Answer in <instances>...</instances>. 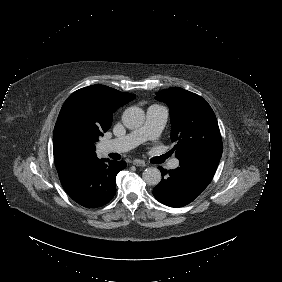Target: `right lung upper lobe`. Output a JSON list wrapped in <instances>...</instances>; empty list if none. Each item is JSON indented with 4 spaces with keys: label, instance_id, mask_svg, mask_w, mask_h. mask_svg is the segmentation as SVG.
<instances>
[{
    "label": "right lung upper lobe",
    "instance_id": "obj_1",
    "mask_svg": "<svg viewBox=\"0 0 282 282\" xmlns=\"http://www.w3.org/2000/svg\"><path fill=\"white\" fill-rule=\"evenodd\" d=\"M135 98L105 85H92L72 93L63 104L53 133L57 171L97 157L95 143L112 124L113 113ZM86 133L96 135L97 140Z\"/></svg>",
    "mask_w": 282,
    "mask_h": 282
}]
</instances>
